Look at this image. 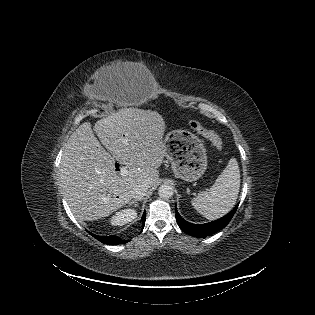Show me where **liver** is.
I'll list each match as a JSON object with an SVG mask.
<instances>
[{
    "label": "liver",
    "mask_w": 315,
    "mask_h": 315,
    "mask_svg": "<svg viewBox=\"0 0 315 315\" xmlns=\"http://www.w3.org/2000/svg\"><path fill=\"white\" fill-rule=\"evenodd\" d=\"M122 70L136 71V64H122ZM166 124L152 110L124 108L94 125L81 124L69 137L62 154L60 180L63 196L72 213L81 221L107 217L127 204L133 188L159 180L158 168L166 156L163 140ZM126 166L122 177L115 161Z\"/></svg>",
    "instance_id": "obj_1"
}]
</instances>
